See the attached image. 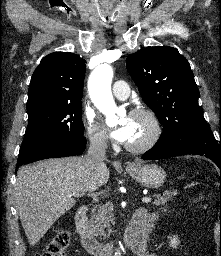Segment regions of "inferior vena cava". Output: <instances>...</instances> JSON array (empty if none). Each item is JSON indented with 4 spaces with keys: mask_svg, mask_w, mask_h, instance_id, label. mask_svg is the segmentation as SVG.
I'll list each match as a JSON object with an SVG mask.
<instances>
[{
    "mask_svg": "<svg viewBox=\"0 0 221 256\" xmlns=\"http://www.w3.org/2000/svg\"><path fill=\"white\" fill-rule=\"evenodd\" d=\"M90 146L86 155V164L90 171L99 172L105 164L104 159L106 155V139L103 135L90 136Z\"/></svg>",
    "mask_w": 221,
    "mask_h": 256,
    "instance_id": "obj_1",
    "label": "inferior vena cava"
}]
</instances>
